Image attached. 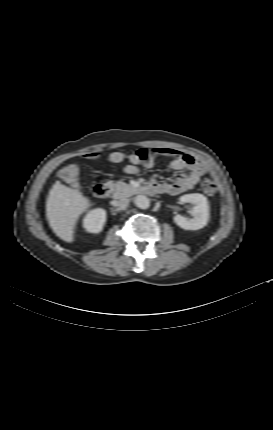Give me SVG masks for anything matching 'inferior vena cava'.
Wrapping results in <instances>:
<instances>
[{"label":"inferior vena cava","instance_id":"1","mask_svg":"<svg viewBox=\"0 0 273 430\" xmlns=\"http://www.w3.org/2000/svg\"><path fill=\"white\" fill-rule=\"evenodd\" d=\"M129 205V199L128 198H121L117 201V206L121 209H125Z\"/></svg>","mask_w":273,"mask_h":430}]
</instances>
